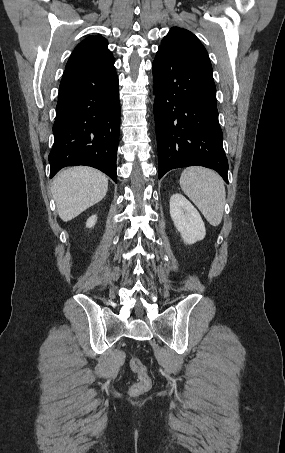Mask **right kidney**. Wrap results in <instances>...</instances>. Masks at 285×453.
Listing matches in <instances>:
<instances>
[{"mask_svg":"<svg viewBox=\"0 0 285 453\" xmlns=\"http://www.w3.org/2000/svg\"><path fill=\"white\" fill-rule=\"evenodd\" d=\"M96 221H97V216L92 215L91 217L88 218V220L86 222V227L92 228L95 225Z\"/></svg>","mask_w":285,"mask_h":453,"instance_id":"right-kidney-1","label":"right kidney"}]
</instances>
